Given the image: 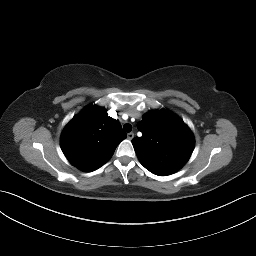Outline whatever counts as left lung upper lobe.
I'll list each match as a JSON object with an SVG mask.
<instances>
[{"instance_id":"1","label":"left lung upper lobe","mask_w":256,"mask_h":256,"mask_svg":"<svg viewBox=\"0 0 256 256\" xmlns=\"http://www.w3.org/2000/svg\"><path fill=\"white\" fill-rule=\"evenodd\" d=\"M138 129L143 135L133 138L132 144L141 164L151 173L170 175L189 160L194 136L176 115L164 110L148 112Z\"/></svg>"}]
</instances>
